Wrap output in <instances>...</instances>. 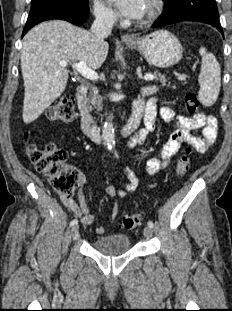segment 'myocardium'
<instances>
[{
  "label": "myocardium",
  "mask_w": 232,
  "mask_h": 311,
  "mask_svg": "<svg viewBox=\"0 0 232 311\" xmlns=\"http://www.w3.org/2000/svg\"><path fill=\"white\" fill-rule=\"evenodd\" d=\"M161 11L160 0H149L147 3V10L143 18L138 22L140 25H146L156 19Z\"/></svg>",
  "instance_id": "1"
}]
</instances>
